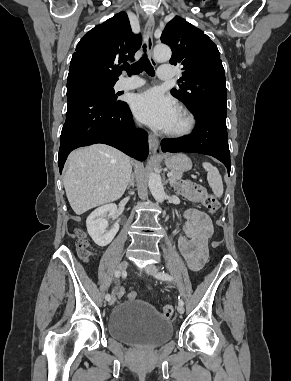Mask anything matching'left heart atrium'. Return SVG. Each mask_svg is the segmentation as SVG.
I'll return each mask as SVG.
<instances>
[{"instance_id":"1","label":"left heart atrium","mask_w":291,"mask_h":381,"mask_svg":"<svg viewBox=\"0 0 291 381\" xmlns=\"http://www.w3.org/2000/svg\"><path fill=\"white\" fill-rule=\"evenodd\" d=\"M131 109L144 124L165 131L172 128L179 114L176 102L156 88L134 95Z\"/></svg>"}]
</instances>
